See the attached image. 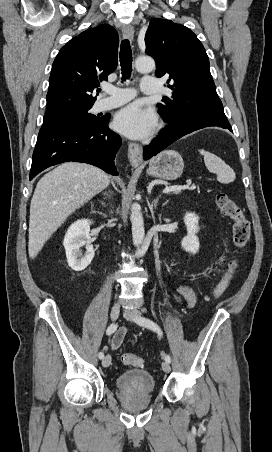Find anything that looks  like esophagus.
Returning a JSON list of instances; mask_svg holds the SVG:
<instances>
[{
  "mask_svg": "<svg viewBox=\"0 0 272 452\" xmlns=\"http://www.w3.org/2000/svg\"><path fill=\"white\" fill-rule=\"evenodd\" d=\"M123 36L130 41L134 38V29L130 25H125L122 28ZM128 159L133 167H138L142 162V147L138 143H129L128 145Z\"/></svg>",
  "mask_w": 272,
  "mask_h": 452,
  "instance_id": "34e87169",
  "label": "esophagus"
}]
</instances>
